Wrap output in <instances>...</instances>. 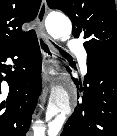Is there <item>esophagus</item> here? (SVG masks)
Here are the masks:
<instances>
[{"label": "esophagus", "mask_w": 117, "mask_h": 136, "mask_svg": "<svg viewBox=\"0 0 117 136\" xmlns=\"http://www.w3.org/2000/svg\"><path fill=\"white\" fill-rule=\"evenodd\" d=\"M46 12L47 2L46 0H42L37 16L38 21L37 35L39 45L43 54L42 81L45 86L48 83L52 82L54 79L53 76L49 73V66L53 64L55 60V51L49 42L44 26Z\"/></svg>", "instance_id": "1"}]
</instances>
